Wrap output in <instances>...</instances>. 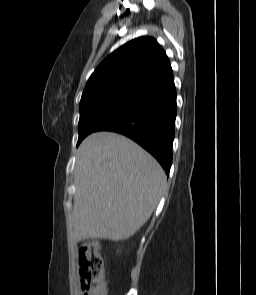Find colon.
I'll return each mask as SVG.
<instances>
[{"label": "colon", "instance_id": "5ec220e1", "mask_svg": "<svg viewBox=\"0 0 256 295\" xmlns=\"http://www.w3.org/2000/svg\"><path fill=\"white\" fill-rule=\"evenodd\" d=\"M80 286L83 295H105L106 280L101 246L98 241L84 242L78 250Z\"/></svg>", "mask_w": 256, "mask_h": 295}]
</instances>
